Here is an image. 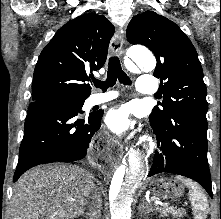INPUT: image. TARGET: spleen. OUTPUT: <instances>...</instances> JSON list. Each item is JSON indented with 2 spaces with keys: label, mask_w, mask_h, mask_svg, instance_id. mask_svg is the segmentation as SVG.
<instances>
[{
  "label": "spleen",
  "mask_w": 221,
  "mask_h": 219,
  "mask_svg": "<svg viewBox=\"0 0 221 219\" xmlns=\"http://www.w3.org/2000/svg\"><path fill=\"white\" fill-rule=\"evenodd\" d=\"M177 180L189 188L190 201L193 206L195 219H205L209 213V204L207 197L200 187L192 180L185 179L181 176H176Z\"/></svg>",
  "instance_id": "obj_1"
}]
</instances>
